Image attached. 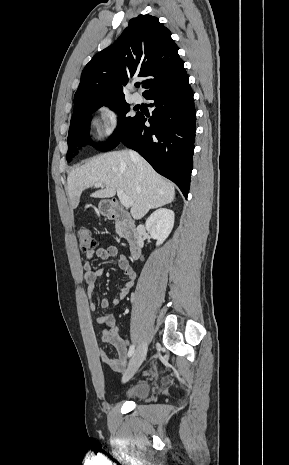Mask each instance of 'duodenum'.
<instances>
[{
    "mask_svg": "<svg viewBox=\"0 0 289 465\" xmlns=\"http://www.w3.org/2000/svg\"><path fill=\"white\" fill-rule=\"evenodd\" d=\"M104 212L108 218L116 221L124 232L129 244L130 257L134 260L138 259L142 251L143 239L129 214L123 210L116 199L108 201Z\"/></svg>",
    "mask_w": 289,
    "mask_h": 465,
    "instance_id": "1",
    "label": "duodenum"
}]
</instances>
